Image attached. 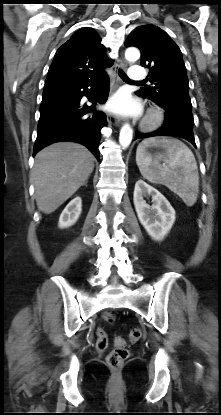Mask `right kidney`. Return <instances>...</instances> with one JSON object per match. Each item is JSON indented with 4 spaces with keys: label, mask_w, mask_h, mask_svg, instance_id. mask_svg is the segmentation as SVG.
I'll list each match as a JSON object with an SVG mask.
<instances>
[{
    "label": "right kidney",
    "mask_w": 221,
    "mask_h": 415,
    "mask_svg": "<svg viewBox=\"0 0 221 415\" xmlns=\"http://www.w3.org/2000/svg\"><path fill=\"white\" fill-rule=\"evenodd\" d=\"M82 200L80 197L74 198L62 211L58 226L59 228H68L72 226L81 214Z\"/></svg>",
    "instance_id": "ca27d5eb"
}]
</instances>
